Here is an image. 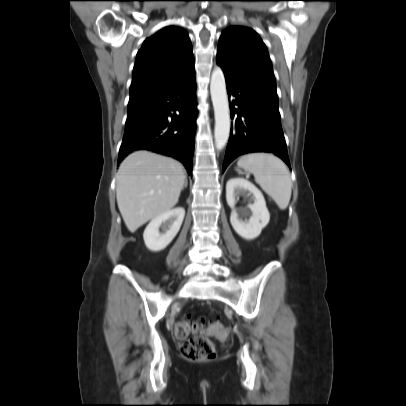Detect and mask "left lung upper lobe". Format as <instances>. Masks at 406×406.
Segmentation results:
<instances>
[{"label": "left lung upper lobe", "mask_w": 406, "mask_h": 406, "mask_svg": "<svg viewBox=\"0 0 406 406\" xmlns=\"http://www.w3.org/2000/svg\"><path fill=\"white\" fill-rule=\"evenodd\" d=\"M217 61L256 82L276 89L266 46L251 28L230 26L224 30L217 48Z\"/></svg>", "instance_id": "left-lung-upper-lobe-1"}]
</instances>
